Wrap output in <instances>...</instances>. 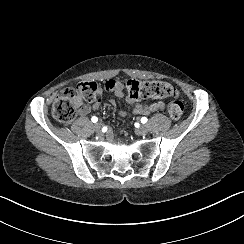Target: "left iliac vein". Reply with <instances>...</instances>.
I'll list each match as a JSON object with an SVG mask.
<instances>
[{"instance_id": "4c4485c4", "label": "left iliac vein", "mask_w": 244, "mask_h": 244, "mask_svg": "<svg viewBox=\"0 0 244 244\" xmlns=\"http://www.w3.org/2000/svg\"><path fill=\"white\" fill-rule=\"evenodd\" d=\"M136 133L138 135H146L148 133V127L146 125H143L139 129H137Z\"/></svg>"}]
</instances>
